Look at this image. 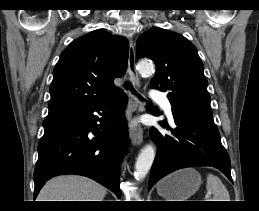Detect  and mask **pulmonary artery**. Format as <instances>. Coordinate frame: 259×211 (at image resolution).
Segmentation results:
<instances>
[{
	"mask_svg": "<svg viewBox=\"0 0 259 211\" xmlns=\"http://www.w3.org/2000/svg\"><path fill=\"white\" fill-rule=\"evenodd\" d=\"M151 97L157 101H159L165 110L169 120L173 122V114H172V108L169 100L159 91L154 90L151 92Z\"/></svg>",
	"mask_w": 259,
	"mask_h": 211,
	"instance_id": "obj_1",
	"label": "pulmonary artery"
}]
</instances>
